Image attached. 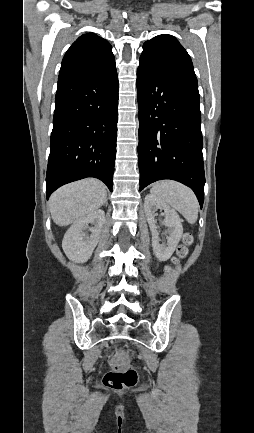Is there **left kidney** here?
Segmentation results:
<instances>
[{"label": "left kidney", "mask_w": 254, "mask_h": 433, "mask_svg": "<svg viewBox=\"0 0 254 433\" xmlns=\"http://www.w3.org/2000/svg\"><path fill=\"white\" fill-rule=\"evenodd\" d=\"M164 210L167 243L160 244L159 232L156 227L155 212ZM144 211L152 233L153 252L160 261H167L173 254L178 245L183 227L178 213L170 208L164 201L153 194H148L144 200Z\"/></svg>", "instance_id": "obj_1"}]
</instances>
